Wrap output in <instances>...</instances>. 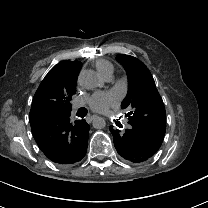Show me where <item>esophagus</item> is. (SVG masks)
Listing matches in <instances>:
<instances>
[{
  "mask_svg": "<svg viewBox=\"0 0 208 208\" xmlns=\"http://www.w3.org/2000/svg\"><path fill=\"white\" fill-rule=\"evenodd\" d=\"M97 116L96 115H91L87 118V121L90 123L93 121V119H95Z\"/></svg>",
  "mask_w": 208,
  "mask_h": 208,
  "instance_id": "1",
  "label": "esophagus"
}]
</instances>
